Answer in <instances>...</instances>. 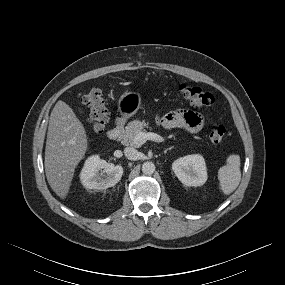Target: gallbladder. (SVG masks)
Instances as JSON below:
<instances>
[{"label":"gallbladder","instance_id":"bac80fb5","mask_svg":"<svg viewBox=\"0 0 285 285\" xmlns=\"http://www.w3.org/2000/svg\"><path fill=\"white\" fill-rule=\"evenodd\" d=\"M78 111H79V113H80V114H82V113H83V109H82V108H80V107H78Z\"/></svg>","mask_w":285,"mask_h":285}]
</instances>
